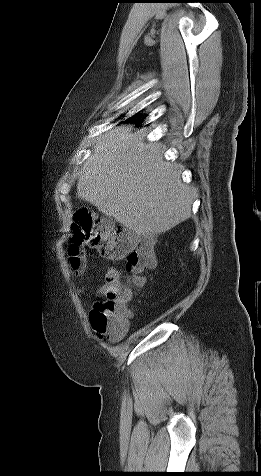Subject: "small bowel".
<instances>
[{
    "label": "small bowel",
    "mask_w": 261,
    "mask_h": 476,
    "mask_svg": "<svg viewBox=\"0 0 261 476\" xmlns=\"http://www.w3.org/2000/svg\"><path fill=\"white\" fill-rule=\"evenodd\" d=\"M125 288L123 275L116 268H110L105 274V282L97 289V294L106 296L110 292L120 293Z\"/></svg>",
    "instance_id": "small-bowel-1"
}]
</instances>
